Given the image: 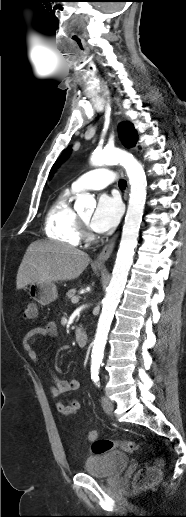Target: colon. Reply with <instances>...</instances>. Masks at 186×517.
<instances>
[{"instance_id":"obj_1","label":"colon","mask_w":186,"mask_h":517,"mask_svg":"<svg viewBox=\"0 0 186 517\" xmlns=\"http://www.w3.org/2000/svg\"><path fill=\"white\" fill-rule=\"evenodd\" d=\"M22 316L25 320H36L39 317L38 305L35 301H27L24 305ZM92 452L96 455L103 454L112 450H122L133 452L141 444L135 441H111L98 439L93 433L89 434ZM163 461L157 460L153 465L138 471L135 476V484L140 488H148L156 485L161 480Z\"/></svg>"}]
</instances>
